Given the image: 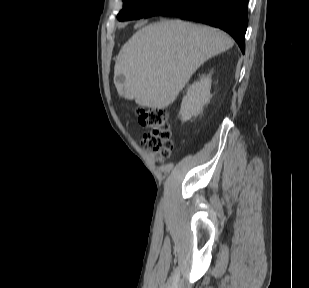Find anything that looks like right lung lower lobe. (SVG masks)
Segmentation results:
<instances>
[{
    "mask_svg": "<svg viewBox=\"0 0 309 288\" xmlns=\"http://www.w3.org/2000/svg\"><path fill=\"white\" fill-rule=\"evenodd\" d=\"M248 0H166L144 17L176 16L228 32L245 52Z\"/></svg>",
    "mask_w": 309,
    "mask_h": 288,
    "instance_id": "obj_1",
    "label": "right lung lower lobe"
}]
</instances>
